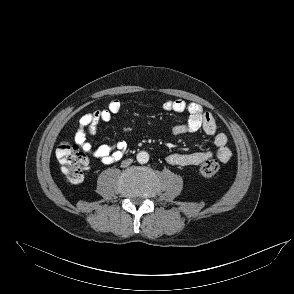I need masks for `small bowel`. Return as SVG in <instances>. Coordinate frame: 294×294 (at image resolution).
<instances>
[{"mask_svg":"<svg viewBox=\"0 0 294 294\" xmlns=\"http://www.w3.org/2000/svg\"><path fill=\"white\" fill-rule=\"evenodd\" d=\"M166 111L176 113H187L188 118L183 123H178L170 127L174 135L196 133L203 130L204 133L212 137L215 151H198L193 153H171L165 160L174 166H197L205 159L217 157L221 162H227L231 158V150L227 146V136L223 132H218L213 116L203 110L202 106L184 100H166L162 104ZM122 109L119 100H112L108 106L93 112L84 114L79 120V128L75 134V142L78 147L88 156L100 160L104 164H112L119 161L127 148L125 141H119L114 147L101 145L94 148L88 140V136L94 135L100 123L108 122L113 115L118 114Z\"/></svg>","mask_w":294,"mask_h":294,"instance_id":"small-bowel-1","label":"small bowel"}]
</instances>
